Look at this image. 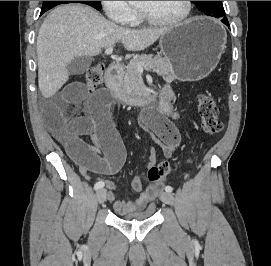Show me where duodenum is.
Instances as JSON below:
<instances>
[{
    "instance_id": "1",
    "label": "duodenum",
    "mask_w": 271,
    "mask_h": 266,
    "mask_svg": "<svg viewBox=\"0 0 271 266\" xmlns=\"http://www.w3.org/2000/svg\"><path fill=\"white\" fill-rule=\"evenodd\" d=\"M122 76V69L119 64L110 65L105 73V83L107 88L116 96V98L122 102L126 103L129 99L120 87V79ZM153 95H146L140 99L143 104H150L154 102Z\"/></svg>"
}]
</instances>
